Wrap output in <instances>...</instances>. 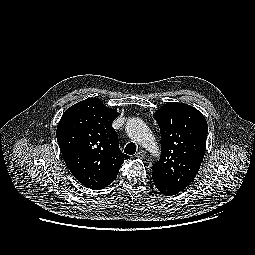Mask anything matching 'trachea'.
<instances>
[{"instance_id": "obj_1", "label": "trachea", "mask_w": 255, "mask_h": 255, "mask_svg": "<svg viewBox=\"0 0 255 255\" xmlns=\"http://www.w3.org/2000/svg\"><path fill=\"white\" fill-rule=\"evenodd\" d=\"M124 152L129 155H133L136 152V145L133 142H130L126 145Z\"/></svg>"}]
</instances>
